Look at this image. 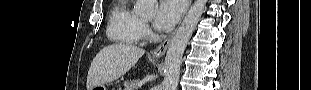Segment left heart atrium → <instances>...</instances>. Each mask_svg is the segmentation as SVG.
<instances>
[{
  "label": "left heart atrium",
  "mask_w": 311,
  "mask_h": 90,
  "mask_svg": "<svg viewBox=\"0 0 311 90\" xmlns=\"http://www.w3.org/2000/svg\"><path fill=\"white\" fill-rule=\"evenodd\" d=\"M182 11V0L161 1L154 18L155 28L162 32L170 30L178 22Z\"/></svg>",
  "instance_id": "obj_1"
}]
</instances>
